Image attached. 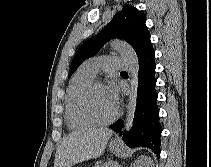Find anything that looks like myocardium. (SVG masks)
<instances>
[{
	"label": "myocardium",
	"instance_id": "obj_1",
	"mask_svg": "<svg viewBox=\"0 0 211 167\" xmlns=\"http://www.w3.org/2000/svg\"><path fill=\"white\" fill-rule=\"evenodd\" d=\"M98 86H104V84L101 81L93 80L91 83H89L86 88L83 90L80 101H79V109L82 115L90 121L93 125L98 126H104L112 123L114 120L117 119L119 115L118 109L115 110L114 114L107 118V119H99L97 118L90 110L89 108V97L92 93V91L98 87Z\"/></svg>",
	"mask_w": 211,
	"mask_h": 167
}]
</instances>
